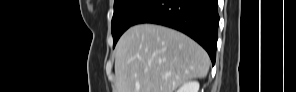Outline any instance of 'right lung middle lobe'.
<instances>
[{
  "mask_svg": "<svg viewBox=\"0 0 296 92\" xmlns=\"http://www.w3.org/2000/svg\"><path fill=\"white\" fill-rule=\"evenodd\" d=\"M155 0H115L111 31L113 46L119 37L133 25L135 19Z\"/></svg>",
  "mask_w": 296,
  "mask_h": 92,
  "instance_id": "right-lung-middle-lobe-1",
  "label": "right lung middle lobe"
}]
</instances>
